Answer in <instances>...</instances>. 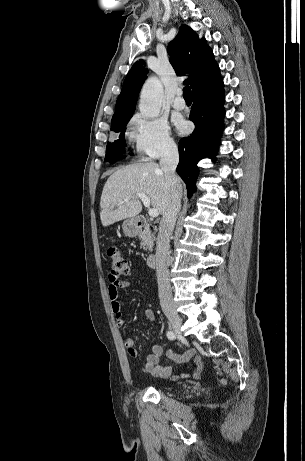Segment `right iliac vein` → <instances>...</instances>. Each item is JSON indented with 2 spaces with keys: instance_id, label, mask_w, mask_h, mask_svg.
Here are the masks:
<instances>
[{
  "instance_id": "right-iliac-vein-1",
  "label": "right iliac vein",
  "mask_w": 305,
  "mask_h": 461,
  "mask_svg": "<svg viewBox=\"0 0 305 461\" xmlns=\"http://www.w3.org/2000/svg\"><path fill=\"white\" fill-rule=\"evenodd\" d=\"M165 312V315L170 323V326L171 328L177 332V333H180V328H181V325H182V320L179 316V314L177 313V311L172 308V307H168L164 310Z\"/></svg>"
}]
</instances>
